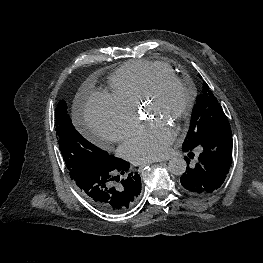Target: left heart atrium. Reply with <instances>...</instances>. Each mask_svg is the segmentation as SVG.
Here are the masks:
<instances>
[{"instance_id":"left-heart-atrium-1","label":"left heart atrium","mask_w":263,"mask_h":263,"mask_svg":"<svg viewBox=\"0 0 263 263\" xmlns=\"http://www.w3.org/2000/svg\"><path fill=\"white\" fill-rule=\"evenodd\" d=\"M172 126L161 118H154L136 128L121 146V154L136 163H147L164 157L173 142Z\"/></svg>"}]
</instances>
